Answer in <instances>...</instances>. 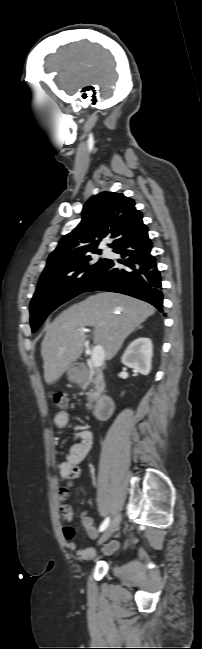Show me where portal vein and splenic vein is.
Wrapping results in <instances>:
<instances>
[{"label":"portal vein and splenic vein","mask_w":202,"mask_h":649,"mask_svg":"<svg viewBox=\"0 0 202 649\" xmlns=\"http://www.w3.org/2000/svg\"><path fill=\"white\" fill-rule=\"evenodd\" d=\"M80 330H84V329L81 328ZM104 358H105V355H104L103 347L100 344L96 345L93 348L92 354H91V363H92V365L95 368H99L103 364Z\"/></svg>","instance_id":"obj_1"}]
</instances>
